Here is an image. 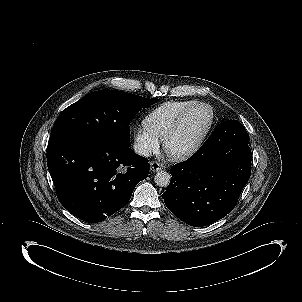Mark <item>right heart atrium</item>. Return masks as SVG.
<instances>
[{"label":"right heart atrium","instance_id":"right-heart-atrium-1","mask_svg":"<svg viewBox=\"0 0 302 302\" xmlns=\"http://www.w3.org/2000/svg\"><path fill=\"white\" fill-rule=\"evenodd\" d=\"M160 141L153 135L143 131L138 130L136 133V147L139 153L149 154L156 152L159 148Z\"/></svg>","mask_w":302,"mask_h":302}]
</instances>
